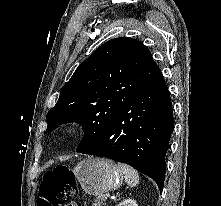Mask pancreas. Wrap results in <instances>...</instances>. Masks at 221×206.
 <instances>
[{"label": "pancreas", "instance_id": "cf45deb5", "mask_svg": "<svg viewBox=\"0 0 221 206\" xmlns=\"http://www.w3.org/2000/svg\"><path fill=\"white\" fill-rule=\"evenodd\" d=\"M105 195L98 196L94 201H92V206H102L105 204Z\"/></svg>", "mask_w": 221, "mask_h": 206}]
</instances>
